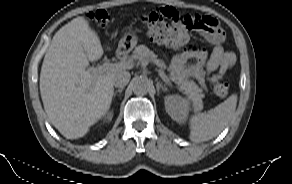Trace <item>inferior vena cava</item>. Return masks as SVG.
Returning a JSON list of instances; mask_svg holds the SVG:
<instances>
[{
    "mask_svg": "<svg viewBox=\"0 0 292 184\" xmlns=\"http://www.w3.org/2000/svg\"><path fill=\"white\" fill-rule=\"evenodd\" d=\"M131 75L127 71H121L115 74L113 84L115 87L124 88L130 81Z\"/></svg>",
    "mask_w": 292,
    "mask_h": 184,
    "instance_id": "obj_1",
    "label": "inferior vena cava"
}]
</instances>
